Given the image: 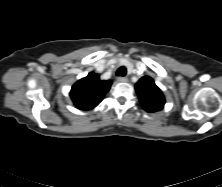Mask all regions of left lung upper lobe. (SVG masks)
<instances>
[{
  "label": "left lung upper lobe",
  "mask_w": 222,
  "mask_h": 187,
  "mask_svg": "<svg viewBox=\"0 0 222 187\" xmlns=\"http://www.w3.org/2000/svg\"><path fill=\"white\" fill-rule=\"evenodd\" d=\"M135 89L143 108L147 112H156L163 109L165 104L164 95L151 77L141 78L136 83Z\"/></svg>",
  "instance_id": "obj_1"
}]
</instances>
